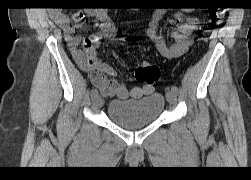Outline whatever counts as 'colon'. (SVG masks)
Masks as SVG:
<instances>
[{
	"label": "colon",
	"instance_id": "obj_1",
	"mask_svg": "<svg viewBox=\"0 0 251 180\" xmlns=\"http://www.w3.org/2000/svg\"><path fill=\"white\" fill-rule=\"evenodd\" d=\"M225 10L221 8H213L209 11V20L212 25H219L223 22ZM160 77L159 68L151 63L142 62L135 69V78L144 85L153 86Z\"/></svg>",
	"mask_w": 251,
	"mask_h": 180
}]
</instances>
